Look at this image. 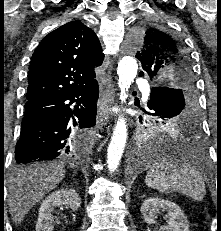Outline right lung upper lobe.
Wrapping results in <instances>:
<instances>
[{"mask_svg":"<svg viewBox=\"0 0 221 231\" xmlns=\"http://www.w3.org/2000/svg\"><path fill=\"white\" fill-rule=\"evenodd\" d=\"M104 54L94 31L71 21L49 33L36 48L28 72L27 99L49 92L79 89L95 80Z\"/></svg>","mask_w":221,"mask_h":231,"instance_id":"cb5924a9","label":"right lung upper lobe"}]
</instances>
